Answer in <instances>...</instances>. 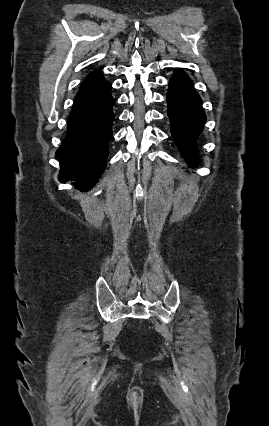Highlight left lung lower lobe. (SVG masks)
Segmentation results:
<instances>
[{"label": "left lung lower lobe", "instance_id": "obj_1", "mask_svg": "<svg viewBox=\"0 0 269 426\" xmlns=\"http://www.w3.org/2000/svg\"><path fill=\"white\" fill-rule=\"evenodd\" d=\"M166 100L172 137L184 156L192 162L195 140L203 129L206 116L202 101L184 72L176 71L170 79Z\"/></svg>", "mask_w": 269, "mask_h": 426}]
</instances>
